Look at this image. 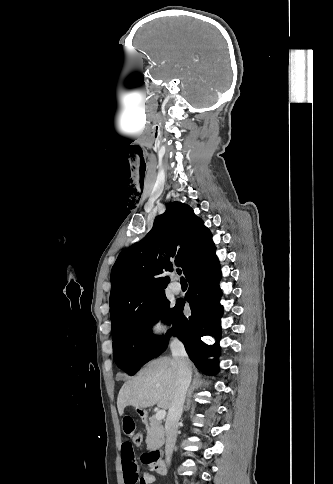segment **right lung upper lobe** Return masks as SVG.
<instances>
[{"label": "right lung upper lobe", "instance_id": "right-lung-upper-lobe-1", "mask_svg": "<svg viewBox=\"0 0 333 484\" xmlns=\"http://www.w3.org/2000/svg\"><path fill=\"white\" fill-rule=\"evenodd\" d=\"M211 238L190 206L168 203L152 230L123 250L112 268V333L134 311L165 295L169 279L164 274L173 270V262L182 267L186 278L201 266L215 250Z\"/></svg>", "mask_w": 333, "mask_h": 484}]
</instances>
